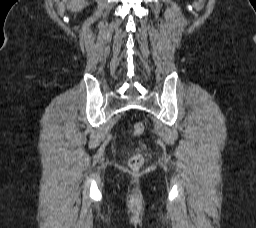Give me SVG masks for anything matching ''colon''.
Returning a JSON list of instances; mask_svg holds the SVG:
<instances>
[{
    "mask_svg": "<svg viewBox=\"0 0 256 228\" xmlns=\"http://www.w3.org/2000/svg\"><path fill=\"white\" fill-rule=\"evenodd\" d=\"M145 130V126L143 123L138 122L135 123L131 129V134L133 136H141ZM144 155L141 152L134 154L128 161V165L132 170L140 169L144 164Z\"/></svg>",
    "mask_w": 256,
    "mask_h": 228,
    "instance_id": "1",
    "label": "colon"
}]
</instances>
